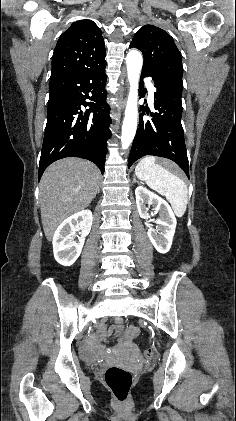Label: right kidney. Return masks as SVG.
Masks as SVG:
<instances>
[{"instance_id": "ca27d5eb", "label": "right kidney", "mask_w": 236, "mask_h": 421, "mask_svg": "<svg viewBox=\"0 0 236 421\" xmlns=\"http://www.w3.org/2000/svg\"><path fill=\"white\" fill-rule=\"evenodd\" d=\"M93 215L91 211H80L65 219L59 225L53 237V253L54 257L63 267H71L78 257L81 255L82 247L85 243V237L89 235L92 227ZM79 233L78 241H73L72 233Z\"/></svg>"}]
</instances>
